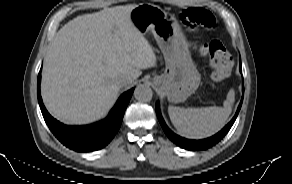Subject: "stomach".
Returning <instances> with one entry per match:
<instances>
[{
  "mask_svg": "<svg viewBox=\"0 0 292 184\" xmlns=\"http://www.w3.org/2000/svg\"><path fill=\"white\" fill-rule=\"evenodd\" d=\"M133 25L141 32L152 31L157 42L165 49L166 71L156 80L171 102L184 101L198 86L200 77L184 51L174 44L179 27L175 20L168 19L151 5H140L130 13Z\"/></svg>",
  "mask_w": 292,
  "mask_h": 184,
  "instance_id": "0dacf381",
  "label": "stomach"
}]
</instances>
